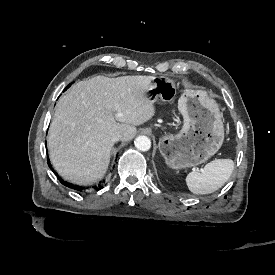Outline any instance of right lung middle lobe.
<instances>
[{"label":"right lung middle lobe","instance_id":"right-lung-middle-lobe-1","mask_svg":"<svg viewBox=\"0 0 275 275\" xmlns=\"http://www.w3.org/2000/svg\"><path fill=\"white\" fill-rule=\"evenodd\" d=\"M71 84H69L67 87H66V89L70 86Z\"/></svg>","mask_w":275,"mask_h":275}]
</instances>
